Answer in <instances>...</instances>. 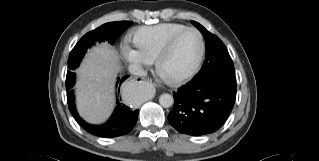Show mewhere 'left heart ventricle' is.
I'll use <instances>...</instances> for the list:
<instances>
[{"instance_id":"1","label":"left heart ventricle","mask_w":319,"mask_h":161,"mask_svg":"<svg viewBox=\"0 0 319 161\" xmlns=\"http://www.w3.org/2000/svg\"><path fill=\"white\" fill-rule=\"evenodd\" d=\"M199 54V40L195 32H187L175 43L165 58L162 70L167 75H179L192 68Z\"/></svg>"}]
</instances>
